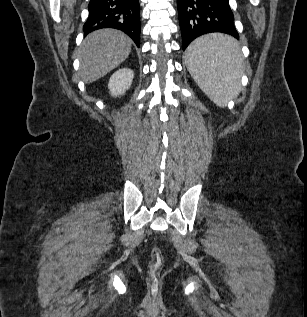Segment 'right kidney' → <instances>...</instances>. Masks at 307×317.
<instances>
[{"label": "right kidney", "instance_id": "obj_1", "mask_svg": "<svg viewBox=\"0 0 307 317\" xmlns=\"http://www.w3.org/2000/svg\"><path fill=\"white\" fill-rule=\"evenodd\" d=\"M134 72L129 68L117 70L111 77L108 83V88L112 96L123 95L132 84Z\"/></svg>", "mask_w": 307, "mask_h": 317}]
</instances>
